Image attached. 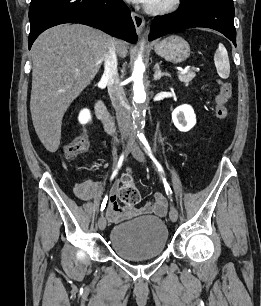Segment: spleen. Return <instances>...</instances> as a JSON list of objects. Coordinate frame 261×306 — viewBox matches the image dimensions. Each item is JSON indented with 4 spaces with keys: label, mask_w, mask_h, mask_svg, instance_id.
<instances>
[{
    "label": "spleen",
    "mask_w": 261,
    "mask_h": 306,
    "mask_svg": "<svg viewBox=\"0 0 261 306\" xmlns=\"http://www.w3.org/2000/svg\"><path fill=\"white\" fill-rule=\"evenodd\" d=\"M214 63L218 75L222 79H227L230 74V63L227 50L221 43L219 44V47L214 55Z\"/></svg>",
    "instance_id": "spleen-1"
}]
</instances>
